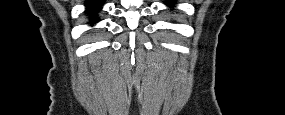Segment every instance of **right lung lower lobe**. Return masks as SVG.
Instances as JSON below:
<instances>
[{
    "instance_id": "right-lung-lower-lobe-1",
    "label": "right lung lower lobe",
    "mask_w": 285,
    "mask_h": 115,
    "mask_svg": "<svg viewBox=\"0 0 285 115\" xmlns=\"http://www.w3.org/2000/svg\"><path fill=\"white\" fill-rule=\"evenodd\" d=\"M104 3L105 2L101 0H91L85 2V13L90 18L89 24L94 25L99 21L98 13L101 11Z\"/></svg>"
}]
</instances>
